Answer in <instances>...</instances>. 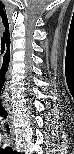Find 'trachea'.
<instances>
[{
  "label": "trachea",
  "instance_id": "obj_1",
  "mask_svg": "<svg viewBox=\"0 0 74 154\" xmlns=\"http://www.w3.org/2000/svg\"><path fill=\"white\" fill-rule=\"evenodd\" d=\"M1 116L3 117V118H6L7 117V112L4 110V108H3V110L1 111ZM7 130L9 131V129H8V127H7Z\"/></svg>",
  "mask_w": 74,
  "mask_h": 154
}]
</instances>
